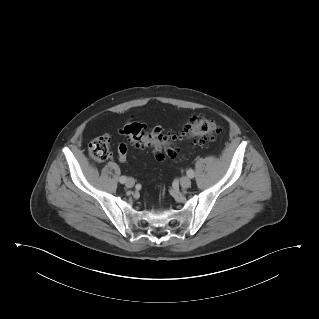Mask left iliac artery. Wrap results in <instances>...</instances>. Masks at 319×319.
I'll return each instance as SVG.
<instances>
[{
    "instance_id": "left-iliac-artery-1",
    "label": "left iliac artery",
    "mask_w": 319,
    "mask_h": 319,
    "mask_svg": "<svg viewBox=\"0 0 319 319\" xmlns=\"http://www.w3.org/2000/svg\"><path fill=\"white\" fill-rule=\"evenodd\" d=\"M187 176H188L189 178H193V177H194V171H193L192 169H189V170L187 171Z\"/></svg>"
}]
</instances>
